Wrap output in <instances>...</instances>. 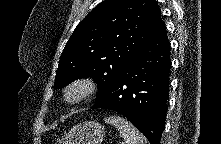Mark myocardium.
Masks as SVG:
<instances>
[{
  "label": "myocardium",
  "mask_w": 221,
  "mask_h": 144,
  "mask_svg": "<svg viewBox=\"0 0 221 144\" xmlns=\"http://www.w3.org/2000/svg\"><path fill=\"white\" fill-rule=\"evenodd\" d=\"M96 91L97 83L93 78L77 77L64 86L61 100L66 106H76L89 100Z\"/></svg>",
  "instance_id": "myocardium-1"
}]
</instances>
